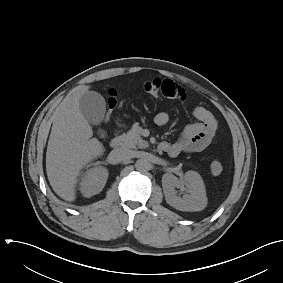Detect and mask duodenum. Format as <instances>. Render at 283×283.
I'll list each match as a JSON object with an SVG mask.
<instances>
[{
  "label": "duodenum",
  "instance_id": "obj_1",
  "mask_svg": "<svg viewBox=\"0 0 283 283\" xmlns=\"http://www.w3.org/2000/svg\"><path fill=\"white\" fill-rule=\"evenodd\" d=\"M122 144V139L119 135H116L111 141H110V146L111 148H118L120 147ZM159 148L161 149V144L159 146Z\"/></svg>",
  "mask_w": 283,
  "mask_h": 283
}]
</instances>
